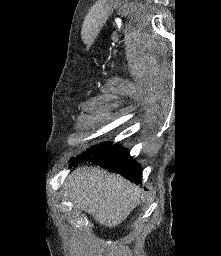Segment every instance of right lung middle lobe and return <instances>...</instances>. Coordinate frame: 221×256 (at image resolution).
I'll use <instances>...</instances> for the list:
<instances>
[{
    "instance_id": "1",
    "label": "right lung middle lobe",
    "mask_w": 221,
    "mask_h": 256,
    "mask_svg": "<svg viewBox=\"0 0 221 256\" xmlns=\"http://www.w3.org/2000/svg\"><path fill=\"white\" fill-rule=\"evenodd\" d=\"M109 144H111V142L101 144V145H98V146H94V147L91 148V150L88 149L87 153H83L82 155H79L77 158H72L71 159V166L76 164L77 161H80L83 158H89V157L93 156L94 154L98 153L99 151L104 149Z\"/></svg>"
}]
</instances>
